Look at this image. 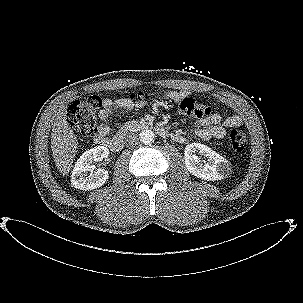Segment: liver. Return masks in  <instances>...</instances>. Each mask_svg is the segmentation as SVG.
<instances>
[{
    "label": "liver",
    "mask_w": 303,
    "mask_h": 303,
    "mask_svg": "<svg viewBox=\"0 0 303 303\" xmlns=\"http://www.w3.org/2000/svg\"><path fill=\"white\" fill-rule=\"evenodd\" d=\"M77 145V138L67 122V106L62 104L52 128L51 150L56 167L63 176L70 172Z\"/></svg>",
    "instance_id": "liver-1"
}]
</instances>
